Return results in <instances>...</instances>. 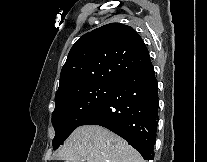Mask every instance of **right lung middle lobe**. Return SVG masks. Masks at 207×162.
Here are the masks:
<instances>
[{"instance_id":"dd1d6c3e","label":"right lung middle lobe","mask_w":207,"mask_h":162,"mask_svg":"<svg viewBox=\"0 0 207 162\" xmlns=\"http://www.w3.org/2000/svg\"><path fill=\"white\" fill-rule=\"evenodd\" d=\"M115 84H98L73 90L56 97L52 124L53 147L60 144L109 96Z\"/></svg>"}]
</instances>
